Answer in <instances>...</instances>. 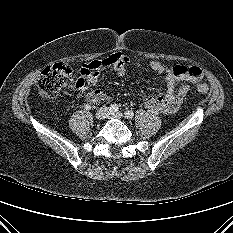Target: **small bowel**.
Returning <instances> with one entry per match:
<instances>
[{
    "instance_id": "1",
    "label": "small bowel",
    "mask_w": 233,
    "mask_h": 233,
    "mask_svg": "<svg viewBox=\"0 0 233 233\" xmlns=\"http://www.w3.org/2000/svg\"><path fill=\"white\" fill-rule=\"evenodd\" d=\"M130 57L126 54L116 52L102 59L93 60L84 64L81 68V76L77 80L75 87L81 88L85 83L95 87L98 83L100 73L106 69H112L120 76L126 75V65ZM182 66L168 67L159 61H151L149 68L157 74L164 75L167 91L163 96L149 94L144 99V105L147 109L157 113H173L181 105L186 96L189 86L188 83H196L201 79L192 78L186 75L175 74V68ZM89 103L94 104L101 101H107L110 97L101 90L94 88L87 95Z\"/></svg>"
}]
</instances>
